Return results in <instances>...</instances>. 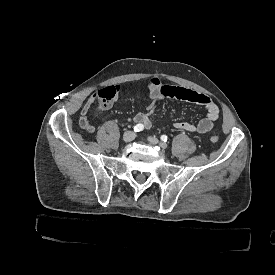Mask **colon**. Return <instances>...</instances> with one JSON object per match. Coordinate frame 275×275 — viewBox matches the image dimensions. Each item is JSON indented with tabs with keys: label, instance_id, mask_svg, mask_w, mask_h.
<instances>
[{
	"label": "colon",
	"instance_id": "obj_1",
	"mask_svg": "<svg viewBox=\"0 0 275 275\" xmlns=\"http://www.w3.org/2000/svg\"><path fill=\"white\" fill-rule=\"evenodd\" d=\"M99 108L104 109L105 106H104V105H100ZM79 124H80V126L82 127V129H84V130H87V131L93 130L92 125H91V124L87 121V119L85 118V113H84V116H82V117L80 118ZM218 139H219V138H218V135H216V134H213V135L210 137V141H211L212 143H216V142L218 141Z\"/></svg>",
	"mask_w": 275,
	"mask_h": 275
}]
</instances>
